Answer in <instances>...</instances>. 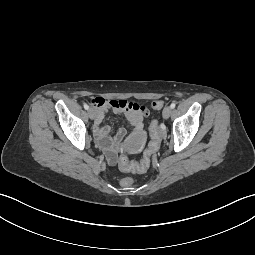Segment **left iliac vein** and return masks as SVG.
<instances>
[{"mask_svg": "<svg viewBox=\"0 0 255 255\" xmlns=\"http://www.w3.org/2000/svg\"><path fill=\"white\" fill-rule=\"evenodd\" d=\"M172 113V108L170 106H166L163 109L162 115L164 119H168Z\"/></svg>", "mask_w": 255, "mask_h": 255, "instance_id": "1", "label": "left iliac vein"}]
</instances>
